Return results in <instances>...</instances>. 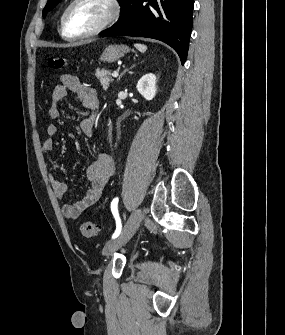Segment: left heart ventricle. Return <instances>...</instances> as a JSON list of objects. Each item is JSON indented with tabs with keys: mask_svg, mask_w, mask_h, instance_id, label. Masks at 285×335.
Returning a JSON list of instances; mask_svg holds the SVG:
<instances>
[{
	"mask_svg": "<svg viewBox=\"0 0 285 335\" xmlns=\"http://www.w3.org/2000/svg\"><path fill=\"white\" fill-rule=\"evenodd\" d=\"M108 14V7L102 3L82 2L75 6L72 22L81 30L92 29L101 24Z\"/></svg>",
	"mask_w": 285,
	"mask_h": 335,
	"instance_id": "obj_1",
	"label": "left heart ventricle"
}]
</instances>
